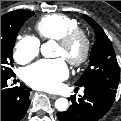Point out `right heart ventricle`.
I'll list each match as a JSON object with an SVG mask.
<instances>
[{
  "label": "right heart ventricle",
  "mask_w": 121,
  "mask_h": 121,
  "mask_svg": "<svg viewBox=\"0 0 121 121\" xmlns=\"http://www.w3.org/2000/svg\"><path fill=\"white\" fill-rule=\"evenodd\" d=\"M79 27V22L76 19L62 14L46 15L35 24L39 35L46 40H58Z\"/></svg>",
  "instance_id": "e07e8e85"
}]
</instances>
